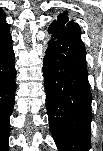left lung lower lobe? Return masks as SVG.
<instances>
[{"mask_svg":"<svg viewBox=\"0 0 103 151\" xmlns=\"http://www.w3.org/2000/svg\"><path fill=\"white\" fill-rule=\"evenodd\" d=\"M43 60L50 130L60 151H88L91 146V101L86 50L79 25L51 26Z\"/></svg>","mask_w":103,"mask_h":151,"instance_id":"1","label":"left lung lower lobe"}]
</instances>
